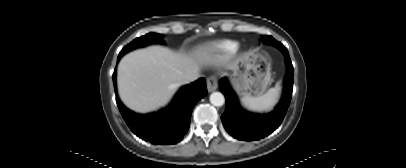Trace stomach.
<instances>
[{
	"mask_svg": "<svg viewBox=\"0 0 406 168\" xmlns=\"http://www.w3.org/2000/svg\"><path fill=\"white\" fill-rule=\"evenodd\" d=\"M271 80V64L269 60L256 51L241 56L233 69L231 81L234 89L241 97L261 96Z\"/></svg>",
	"mask_w": 406,
	"mask_h": 168,
	"instance_id": "obj_1",
	"label": "stomach"
}]
</instances>
